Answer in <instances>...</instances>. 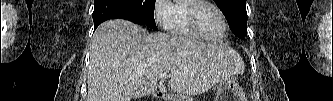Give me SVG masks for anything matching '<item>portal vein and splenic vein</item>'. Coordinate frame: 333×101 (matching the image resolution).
I'll return each mask as SVG.
<instances>
[{
	"mask_svg": "<svg viewBox=\"0 0 333 101\" xmlns=\"http://www.w3.org/2000/svg\"><path fill=\"white\" fill-rule=\"evenodd\" d=\"M160 79H166L168 75L166 73L159 74L158 76Z\"/></svg>",
	"mask_w": 333,
	"mask_h": 101,
	"instance_id": "portal-vein-and-splenic-vein-1",
	"label": "portal vein and splenic vein"
}]
</instances>
